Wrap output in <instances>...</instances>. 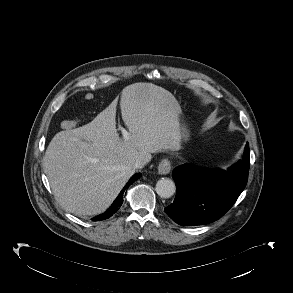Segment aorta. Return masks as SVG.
Here are the masks:
<instances>
[{
  "mask_svg": "<svg viewBox=\"0 0 293 293\" xmlns=\"http://www.w3.org/2000/svg\"><path fill=\"white\" fill-rule=\"evenodd\" d=\"M155 190L160 197L169 198L174 195L176 187L171 179L161 178L157 181Z\"/></svg>",
  "mask_w": 293,
  "mask_h": 293,
  "instance_id": "762f6f07",
  "label": "aorta"
}]
</instances>
